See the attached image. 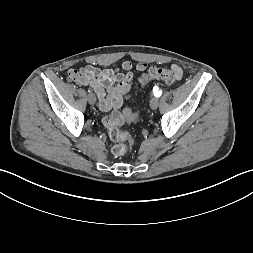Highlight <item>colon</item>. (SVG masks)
I'll use <instances>...</instances> for the list:
<instances>
[{"label":"colon","instance_id":"obj_1","mask_svg":"<svg viewBox=\"0 0 253 253\" xmlns=\"http://www.w3.org/2000/svg\"><path fill=\"white\" fill-rule=\"evenodd\" d=\"M182 76V72L177 67L171 68H157L152 67L147 74L141 79V84H145L149 80L157 79L165 82L166 84L176 83ZM143 116L139 112H132L130 109H125L121 112H115L114 114L107 116L103 119V125L106 128L109 138L117 143L112 148V152L116 156H121L127 151L126 145L123 142H132V136L123 130L121 125L124 123H138L142 120Z\"/></svg>","mask_w":253,"mask_h":253}]
</instances>
